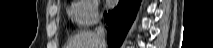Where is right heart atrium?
Returning <instances> with one entry per match:
<instances>
[{
    "label": "right heart atrium",
    "instance_id": "right-heart-atrium-1",
    "mask_svg": "<svg viewBox=\"0 0 213 48\" xmlns=\"http://www.w3.org/2000/svg\"><path fill=\"white\" fill-rule=\"evenodd\" d=\"M69 15L81 28L92 26L99 19L98 2L96 0L74 1L69 8Z\"/></svg>",
    "mask_w": 213,
    "mask_h": 48
}]
</instances>
